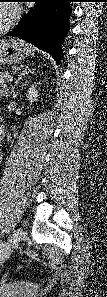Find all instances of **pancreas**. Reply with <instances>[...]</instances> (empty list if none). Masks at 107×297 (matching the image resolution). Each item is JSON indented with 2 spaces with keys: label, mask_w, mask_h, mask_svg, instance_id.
Masks as SVG:
<instances>
[{
  "label": "pancreas",
  "mask_w": 107,
  "mask_h": 297,
  "mask_svg": "<svg viewBox=\"0 0 107 297\" xmlns=\"http://www.w3.org/2000/svg\"><path fill=\"white\" fill-rule=\"evenodd\" d=\"M8 76L10 73L8 71L0 72V87L1 89H6V83H8Z\"/></svg>",
  "instance_id": "1"
}]
</instances>
